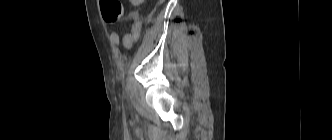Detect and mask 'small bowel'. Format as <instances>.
Here are the masks:
<instances>
[{
    "mask_svg": "<svg viewBox=\"0 0 332 140\" xmlns=\"http://www.w3.org/2000/svg\"><path fill=\"white\" fill-rule=\"evenodd\" d=\"M130 2L133 6H139L144 2V0H130ZM131 17L134 18L135 15L132 14ZM139 36H140V24L139 22L136 21L130 23L128 25L127 30H125L121 36L117 31H113L111 34V43L117 46L121 39L124 47L126 49H131L139 39Z\"/></svg>",
    "mask_w": 332,
    "mask_h": 140,
    "instance_id": "c3829d8e",
    "label": "small bowel"
}]
</instances>
